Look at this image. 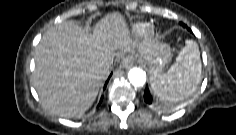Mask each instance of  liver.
Returning <instances> with one entry per match:
<instances>
[{
	"mask_svg": "<svg viewBox=\"0 0 236 135\" xmlns=\"http://www.w3.org/2000/svg\"><path fill=\"white\" fill-rule=\"evenodd\" d=\"M134 45L121 14H108L88 33L72 21L49 29L35 48L32 82L42 105L61 117L84 113L109 74L106 62Z\"/></svg>",
	"mask_w": 236,
	"mask_h": 135,
	"instance_id": "liver-1",
	"label": "liver"
}]
</instances>
